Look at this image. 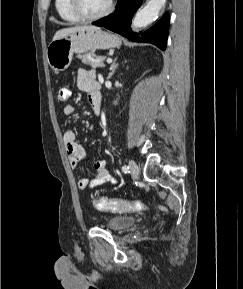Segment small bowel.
<instances>
[{"instance_id":"c3829d8e","label":"small bowel","mask_w":243,"mask_h":289,"mask_svg":"<svg viewBox=\"0 0 243 289\" xmlns=\"http://www.w3.org/2000/svg\"><path fill=\"white\" fill-rule=\"evenodd\" d=\"M77 87L79 90L88 93L91 109L95 115L100 113L101 107L97 106L95 100V91L99 89V82L94 70L79 69L77 75ZM63 112L66 116H72L75 108L72 105L64 107ZM63 142L65 150L69 158L70 165L77 167L85 156L84 148L77 142L74 131L67 130L63 134ZM93 170L95 176L92 179L82 178L78 181V187L81 190L95 188L106 183L117 184V180L113 178L108 169L105 160H98L94 163Z\"/></svg>"}]
</instances>
